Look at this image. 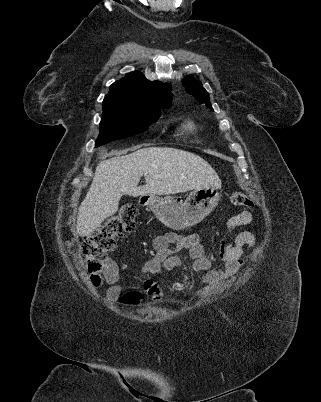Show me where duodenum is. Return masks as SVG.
I'll list each match as a JSON object with an SVG mask.
<instances>
[{
  "instance_id": "410a0bca",
  "label": "duodenum",
  "mask_w": 321,
  "mask_h": 402,
  "mask_svg": "<svg viewBox=\"0 0 321 402\" xmlns=\"http://www.w3.org/2000/svg\"><path fill=\"white\" fill-rule=\"evenodd\" d=\"M148 202H149L148 197H141L140 200H139V203L141 205H146V204H148Z\"/></svg>"
}]
</instances>
